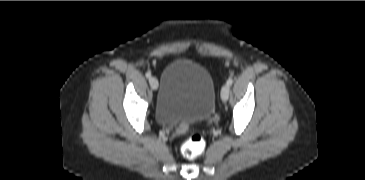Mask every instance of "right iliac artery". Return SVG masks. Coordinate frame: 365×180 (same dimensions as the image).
<instances>
[{
    "instance_id": "right-iliac-artery-1",
    "label": "right iliac artery",
    "mask_w": 365,
    "mask_h": 180,
    "mask_svg": "<svg viewBox=\"0 0 365 180\" xmlns=\"http://www.w3.org/2000/svg\"><path fill=\"white\" fill-rule=\"evenodd\" d=\"M146 77H147V78H151V73L147 72V73H146Z\"/></svg>"
}]
</instances>
